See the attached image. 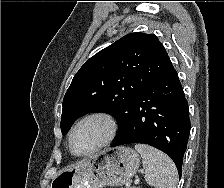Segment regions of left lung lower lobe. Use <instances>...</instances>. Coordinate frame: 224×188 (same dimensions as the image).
Wrapping results in <instances>:
<instances>
[{
  "label": "left lung lower lobe",
  "mask_w": 224,
  "mask_h": 188,
  "mask_svg": "<svg viewBox=\"0 0 224 188\" xmlns=\"http://www.w3.org/2000/svg\"><path fill=\"white\" fill-rule=\"evenodd\" d=\"M189 133L187 101L172 66L140 92L132 105L129 121L111 147L130 143L151 145L172 158L181 176Z\"/></svg>",
  "instance_id": "left-lung-lower-lobe-1"
}]
</instances>
